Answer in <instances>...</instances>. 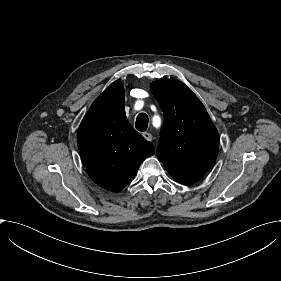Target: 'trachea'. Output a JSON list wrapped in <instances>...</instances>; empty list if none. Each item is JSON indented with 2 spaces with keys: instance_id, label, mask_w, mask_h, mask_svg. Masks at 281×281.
Returning a JSON list of instances; mask_svg holds the SVG:
<instances>
[{
  "instance_id": "1",
  "label": "trachea",
  "mask_w": 281,
  "mask_h": 281,
  "mask_svg": "<svg viewBox=\"0 0 281 281\" xmlns=\"http://www.w3.org/2000/svg\"><path fill=\"white\" fill-rule=\"evenodd\" d=\"M135 127L139 131H146L148 127V116L145 113H140L137 116Z\"/></svg>"
}]
</instances>
